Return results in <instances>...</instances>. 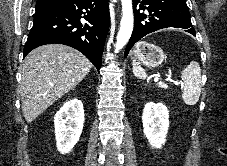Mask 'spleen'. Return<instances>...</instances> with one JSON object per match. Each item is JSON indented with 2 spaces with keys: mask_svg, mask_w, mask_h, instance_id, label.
<instances>
[{
  "mask_svg": "<svg viewBox=\"0 0 227 166\" xmlns=\"http://www.w3.org/2000/svg\"><path fill=\"white\" fill-rule=\"evenodd\" d=\"M133 74L138 79H146L145 70L137 62H133ZM181 78L184 82L182 88V99L187 105H195L201 94V69L196 61H191L189 65L181 72Z\"/></svg>",
  "mask_w": 227,
  "mask_h": 166,
  "instance_id": "1",
  "label": "spleen"
}]
</instances>
